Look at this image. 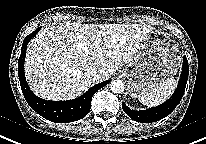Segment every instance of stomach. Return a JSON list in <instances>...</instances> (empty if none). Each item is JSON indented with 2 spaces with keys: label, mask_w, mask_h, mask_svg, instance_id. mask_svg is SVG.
I'll return each instance as SVG.
<instances>
[{
  "label": "stomach",
  "mask_w": 206,
  "mask_h": 144,
  "mask_svg": "<svg viewBox=\"0 0 206 144\" xmlns=\"http://www.w3.org/2000/svg\"><path fill=\"white\" fill-rule=\"evenodd\" d=\"M181 57L176 45L157 31L150 30L136 57L122 70L132 97L140 98L177 73Z\"/></svg>",
  "instance_id": "1"
}]
</instances>
